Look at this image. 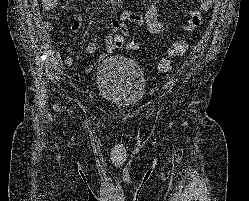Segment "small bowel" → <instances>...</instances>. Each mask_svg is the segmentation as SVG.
I'll list each match as a JSON object with an SVG mask.
<instances>
[{"mask_svg": "<svg viewBox=\"0 0 249 201\" xmlns=\"http://www.w3.org/2000/svg\"><path fill=\"white\" fill-rule=\"evenodd\" d=\"M43 3L48 8H53L59 4L58 0H43ZM214 0H200V6L197 10L189 11L187 14V23L184 26L185 30H191L198 27L202 21V14L210 10ZM63 10H70L71 7L60 6ZM128 22L135 23L140 26H145L152 34H159L164 31L167 25V20L159 13L158 3L155 2L146 8L144 13H135L124 11L119 17L113 18L110 21V31L105 37V52L98 56L99 61H103L108 54H111L115 48L111 45L114 41H123L129 35ZM43 27L46 31L51 32L54 25L51 22H44ZM81 27L79 20H75L71 24L73 32H77ZM99 45L96 41H92L84 49L85 55H91L98 51ZM171 48L167 50L170 53ZM64 65L68 68L74 65V59L71 56H66L63 60ZM94 70L93 65H87L84 69L85 73L89 74ZM75 77H79L75 74Z\"/></svg>", "mask_w": 249, "mask_h": 201, "instance_id": "obj_1", "label": "small bowel"}]
</instances>
